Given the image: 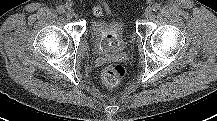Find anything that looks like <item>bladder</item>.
<instances>
[{"label":"bladder","mask_w":217,"mask_h":121,"mask_svg":"<svg viewBox=\"0 0 217 121\" xmlns=\"http://www.w3.org/2000/svg\"><path fill=\"white\" fill-rule=\"evenodd\" d=\"M91 33L97 49L103 54H118L126 47L124 26L115 17L95 19L92 22Z\"/></svg>","instance_id":"31cf9c89"}]
</instances>
